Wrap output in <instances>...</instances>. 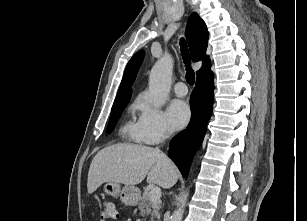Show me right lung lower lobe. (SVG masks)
<instances>
[{
	"mask_svg": "<svg viewBox=\"0 0 307 221\" xmlns=\"http://www.w3.org/2000/svg\"><path fill=\"white\" fill-rule=\"evenodd\" d=\"M213 91L212 78L196 80L190 98L191 121L187 129L176 135L170 142L168 156L178 166L184 177L188 174L191 159L203 142L207 123L212 113Z\"/></svg>",
	"mask_w": 307,
	"mask_h": 221,
	"instance_id": "98d812e1",
	"label": "right lung lower lobe"
}]
</instances>
